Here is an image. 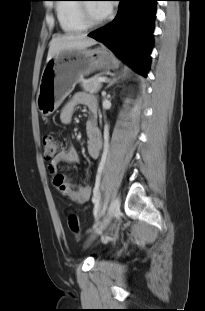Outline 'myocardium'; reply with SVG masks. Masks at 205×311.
<instances>
[{
    "label": "myocardium",
    "mask_w": 205,
    "mask_h": 311,
    "mask_svg": "<svg viewBox=\"0 0 205 311\" xmlns=\"http://www.w3.org/2000/svg\"><path fill=\"white\" fill-rule=\"evenodd\" d=\"M78 7H79L80 19H81L83 25L88 29L98 28V27L102 26L107 20V18L105 16L98 21L92 20L91 16H90V12H89L88 3L83 2V3L79 4Z\"/></svg>",
    "instance_id": "f54148a6"
}]
</instances>
